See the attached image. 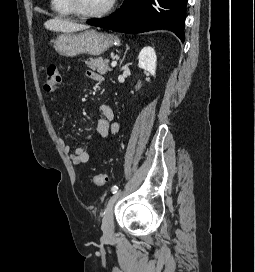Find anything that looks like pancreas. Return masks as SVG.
I'll use <instances>...</instances> for the list:
<instances>
[{
	"instance_id": "cf45deb5",
	"label": "pancreas",
	"mask_w": 255,
	"mask_h": 272,
	"mask_svg": "<svg viewBox=\"0 0 255 272\" xmlns=\"http://www.w3.org/2000/svg\"><path fill=\"white\" fill-rule=\"evenodd\" d=\"M85 64L92 70L97 71L98 73L104 75L107 72H111L112 69L109 68V60L99 58H89L85 61Z\"/></svg>"
}]
</instances>
